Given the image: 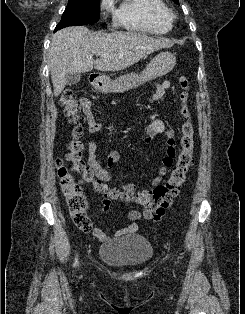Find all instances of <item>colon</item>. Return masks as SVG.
<instances>
[{"instance_id":"obj_1","label":"colon","mask_w":245,"mask_h":314,"mask_svg":"<svg viewBox=\"0 0 245 314\" xmlns=\"http://www.w3.org/2000/svg\"><path fill=\"white\" fill-rule=\"evenodd\" d=\"M179 82L182 88L180 93L181 114L185 121L181 127V152L177 163L165 183L152 190L133 194L108 187L98 178L93 169L86 166L83 160L84 145L81 141L84 123L81 109L84 99L78 100L71 89L63 91L60 104L64 107L65 114L71 124V140L68 144L65 160L57 159L56 167L71 220L79 230L89 232L92 229V222L86 212V197L81 191V185L91 186L96 195L108 204L135 201L144 208V211L156 214H164L173 199L178 196L181 186L185 182L186 174L193 164L194 148V130L187 105L189 80L182 76ZM75 174L80 175V181L76 180Z\"/></svg>"}]
</instances>
